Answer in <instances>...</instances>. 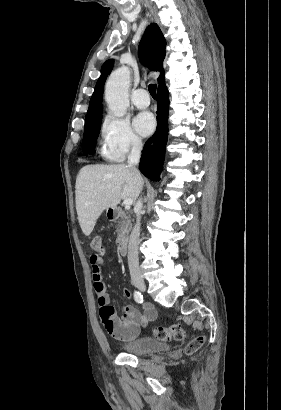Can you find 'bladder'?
<instances>
[{
  "label": "bladder",
  "instance_id": "bladder-1",
  "mask_svg": "<svg viewBox=\"0 0 281 410\" xmlns=\"http://www.w3.org/2000/svg\"><path fill=\"white\" fill-rule=\"evenodd\" d=\"M121 349L128 354L142 356L167 352L169 350V345L156 338L142 336L132 342L123 344Z\"/></svg>",
  "mask_w": 281,
  "mask_h": 410
}]
</instances>
